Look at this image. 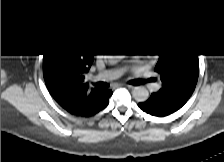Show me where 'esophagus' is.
<instances>
[{
	"instance_id": "esophagus-1",
	"label": "esophagus",
	"mask_w": 224,
	"mask_h": 162,
	"mask_svg": "<svg viewBox=\"0 0 224 162\" xmlns=\"http://www.w3.org/2000/svg\"><path fill=\"white\" fill-rule=\"evenodd\" d=\"M126 87H128L129 89H133L134 87L132 85H125Z\"/></svg>"
}]
</instances>
